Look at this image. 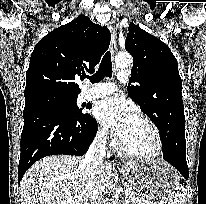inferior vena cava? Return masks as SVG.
I'll return each instance as SVG.
<instances>
[{"instance_id":"inferior-vena-cava-1","label":"inferior vena cava","mask_w":206,"mask_h":204,"mask_svg":"<svg viewBox=\"0 0 206 204\" xmlns=\"http://www.w3.org/2000/svg\"><path fill=\"white\" fill-rule=\"evenodd\" d=\"M107 134L103 131L96 135L90 145L83 163L87 165L90 190L84 204H101L102 192L99 187V176L102 173L103 158L106 154Z\"/></svg>"}]
</instances>
